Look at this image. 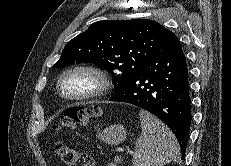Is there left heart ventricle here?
I'll return each mask as SVG.
<instances>
[{
    "label": "left heart ventricle",
    "instance_id": "1",
    "mask_svg": "<svg viewBox=\"0 0 231 166\" xmlns=\"http://www.w3.org/2000/svg\"><path fill=\"white\" fill-rule=\"evenodd\" d=\"M93 82L85 74H73L67 77L62 83V89L65 93H80L90 89Z\"/></svg>",
    "mask_w": 231,
    "mask_h": 166
}]
</instances>
